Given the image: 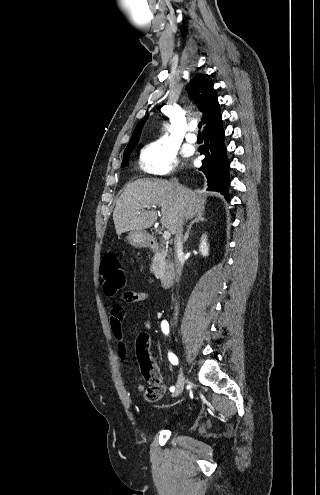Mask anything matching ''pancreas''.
<instances>
[{"mask_svg": "<svg viewBox=\"0 0 320 495\" xmlns=\"http://www.w3.org/2000/svg\"><path fill=\"white\" fill-rule=\"evenodd\" d=\"M166 269L165 252L161 251L155 254L152 259L150 271L155 276H160V274Z\"/></svg>", "mask_w": 320, "mask_h": 495, "instance_id": "pancreas-1", "label": "pancreas"}]
</instances>
